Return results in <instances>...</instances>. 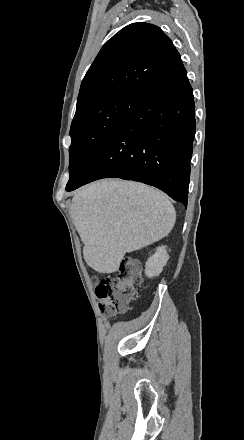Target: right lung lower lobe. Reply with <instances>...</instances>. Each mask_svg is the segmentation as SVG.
Instances as JSON below:
<instances>
[{
	"instance_id": "1",
	"label": "right lung lower lobe",
	"mask_w": 244,
	"mask_h": 440,
	"mask_svg": "<svg viewBox=\"0 0 244 440\" xmlns=\"http://www.w3.org/2000/svg\"><path fill=\"white\" fill-rule=\"evenodd\" d=\"M193 90L181 66L147 91L68 188L101 178L157 187L187 206L195 136Z\"/></svg>"
}]
</instances>
